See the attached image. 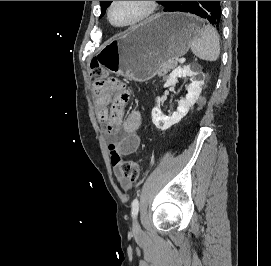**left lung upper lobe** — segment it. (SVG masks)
<instances>
[{
	"mask_svg": "<svg viewBox=\"0 0 271 266\" xmlns=\"http://www.w3.org/2000/svg\"><path fill=\"white\" fill-rule=\"evenodd\" d=\"M111 2L112 1H100V5H101L100 17H102L105 14L106 9L111 4ZM158 2H160L165 7L166 4L169 3L170 1H158Z\"/></svg>",
	"mask_w": 271,
	"mask_h": 266,
	"instance_id": "1",
	"label": "left lung upper lobe"
}]
</instances>
